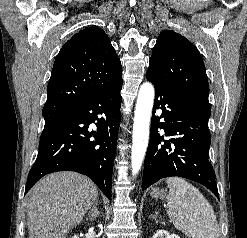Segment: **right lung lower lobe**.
Here are the masks:
<instances>
[{
    "label": "right lung lower lobe",
    "instance_id": "right-lung-lower-lobe-1",
    "mask_svg": "<svg viewBox=\"0 0 247 238\" xmlns=\"http://www.w3.org/2000/svg\"><path fill=\"white\" fill-rule=\"evenodd\" d=\"M122 83L120 79L83 103L45 121L25 194L44 175L70 170L90 177L111 198ZM92 123L97 126L95 131L89 127ZM91 136L95 139L90 140Z\"/></svg>",
    "mask_w": 247,
    "mask_h": 238
}]
</instances>
